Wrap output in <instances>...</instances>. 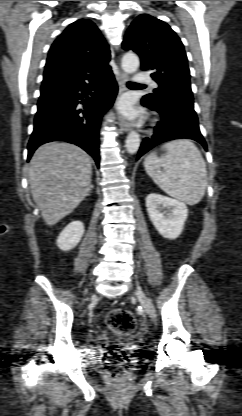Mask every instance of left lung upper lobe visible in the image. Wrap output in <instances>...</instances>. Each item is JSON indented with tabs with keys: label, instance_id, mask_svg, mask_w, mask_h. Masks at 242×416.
I'll list each match as a JSON object with an SVG mask.
<instances>
[{
	"label": "left lung upper lobe",
	"instance_id": "5c2ea615",
	"mask_svg": "<svg viewBox=\"0 0 242 416\" xmlns=\"http://www.w3.org/2000/svg\"><path fill=\"white\" fill-rule=\"evenodd\" d=\"M122 47L140 56L142 70H153L151 77L159 87L144 100L160 102L171 97L193 103L184 46L168 24L141 14L131 23Z\"/></svg>",
	"mask_w": 242,
	"mask_h": 416
}]
</instances>
